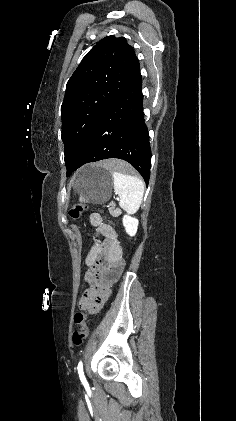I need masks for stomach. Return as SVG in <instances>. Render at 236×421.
<instances>
[{"instance_id":"1","label":"stomach","mask_w":236,"mask_h":421,"mask_svg":"<svg viewBox=\"0 0 236 421\" xmlns=\"http://www.w3.org/2000/svg\"><path fill=\"white\" fill-rule=\"evenodd\" d=\"M113 174L99 164H86L79 168L74 188L79 194L81 202L103 204L112 194Z\"/></svg>"}]
</instances>
